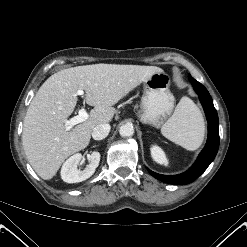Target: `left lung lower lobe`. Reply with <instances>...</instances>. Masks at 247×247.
<instances>
[{
  "mask_svg": "<svg viewBox=\"0 0 247 247\" xmlns=\"http://www.w3.org/2000/svg\"><path fill=\"white\" fill-rule=\"evenodd\" d=\"M194 90L199 95V99L204 108L208 121V140L207 143L198 156L193 166L186 172L179 175H161L148 169L152 176L163 182L177 185H184L193 182L197 179L214 160L219 147V130H218V115L213 105L212 98L207 89L191 75L188 76Z\"/></svg>",
  "mask_w": 247,
  "mask_h": 247,
  "instance_id": "0a47b994",
  "label": "left lung lower lobe"
}]
</instances>
